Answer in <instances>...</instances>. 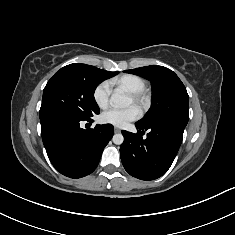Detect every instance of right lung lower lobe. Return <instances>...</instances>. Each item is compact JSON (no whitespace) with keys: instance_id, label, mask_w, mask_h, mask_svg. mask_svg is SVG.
Masks as SVG:
<instances>
[{"instance_id":"1","label":"right lung lower lobe","mask_w":235,"mask_h":235,"mask_svg":"<svg viewBox=\"0 0 235 235\" xmlns=\"http://www.w3.org/2000/svg\"><path fill=\"white\" fill-rule=\"evenodd\" d=\"M81 121L93 122L91 118L40 119L43 144L52 165L70 178H81L92 173L114 134L111 124L96 125L94 129L85 130L80 127Z\"/></svg>"}]
</instances>
